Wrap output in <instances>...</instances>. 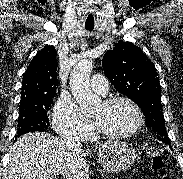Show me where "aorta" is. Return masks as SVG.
<instances>
[{
	"instance_id": "obj_1",
	"label": "aorta",
	"mask_w": 183,
	"mask_h": 179,
	"mask_svg": "<svg viewBox=\"0 0 183 179\" xmlns=\"http://www.w3.org/2000/svg\"><path fill=\"white\" fill-rule=\"evenodd\" d=\"M93 67L92 60L83 59L74 66L70 74L71 93L83 112L93 111L100 103L99 96L90 89L89 78Z\"/></svg>"
}]
</instances>
